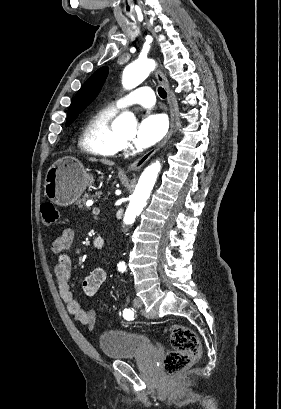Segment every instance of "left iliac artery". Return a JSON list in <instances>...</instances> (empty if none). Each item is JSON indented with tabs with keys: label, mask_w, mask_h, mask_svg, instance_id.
Returning <instances> with one entry per match:
<instances>
[{
	"label": "left iliac artery",
	"mask_w": 281,
	"mask_h": 409,
	"mask_svg": "<svg viewBox=\"0 0 281 409\" xmlns=\"http://www.w3.org/2000/svg\"><path fill=\"white\" fill-rule=\"evenodd\" d=\"M123 316L126 320H133L134 319V310L132 309H125L123 311Z\"/></svg>",
	"instance_id": "left-iliac-artery-1"
}]
</instances>
